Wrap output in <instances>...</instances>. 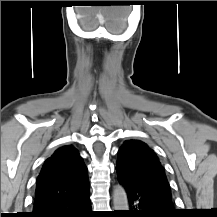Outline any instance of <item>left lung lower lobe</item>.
<instances>
[{"label": "left lung lower lobe", "mask_w": 217, "mask_h": 217, "mask_svg": "<svg viewBox=\"0 0 217 217\" xmlns=\"http://www.w3.org/2000/svg\"><path fill=\"white\" fill-rule=\"evenodd\" d=\"M120 181V180H119ZM124 186L129 202L135 210H130L127 217H176L173 200L153 192L142 191L128 185Z\"/></svg>", "instance_id": "1"}]
</instances>
